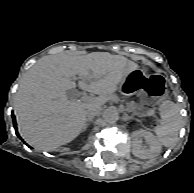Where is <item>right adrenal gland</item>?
<instances>
[{
	"label": "right adrenal gland",
	"mask_w": 194,
	"mask_h": 193,
	"mask_svg": "<svg viewBox=\"0 0 194 193\" xmlns=\"http://www.w3.org/2000/svg\"><path fill=\"white\" fill-rule=\"evenodd\" d=\"M91 120H92V119H87V120H86V121H87V123H86V125H85V129L88 127L89 122H91Z\"/></svg>",
	"instance_id": "1"
}]
</instances>
